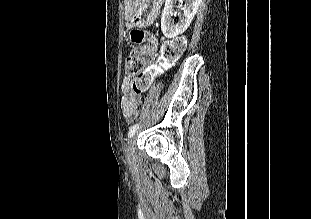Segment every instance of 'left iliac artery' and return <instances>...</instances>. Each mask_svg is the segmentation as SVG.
Instances as JSON below:
<instances>
[{"label":"left iliac artery","instance_id":"left-iliac-artery-1","mask_svg":"<svg viewBox=\"0 0 311 219\" xmlns=\"http://www.w3.org/2000/svg\"><path fill=\"white\" fill-rule=\"evenodd\" d=\"M138 128H139V124H135L132 127H130L129 133H128V138H131L134 135V133L137 131Z\"/></svg>","mask_w":311,"mask_h":219}]
</instances>
